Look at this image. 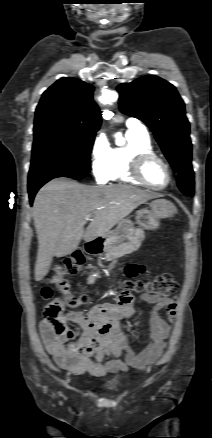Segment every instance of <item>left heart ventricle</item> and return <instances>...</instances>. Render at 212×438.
I'll list each match as a JSON object with an SVG mask.
<instances>
[{
    "mask_svg": "<svg viewBox=\"0 0 212 438\" xmlns=\"http://www.w3.org/2000/svg\"><path fill=\"white\" fill-rule=\"evenodd\" d=\"M143 174L149 183L158 187L165 185L168 179L164 166L157 160L149 161Z\"/></svg>",
    "mask_w": 212,
    "mask_h": 438,
    "instance_id": "b2bd125f",
    "label": "left heart ventricle"
}]
</instances>
